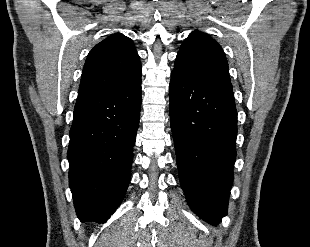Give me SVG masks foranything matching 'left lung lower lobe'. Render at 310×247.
<instances>
[{
	"label": "left lung lower lobe",
	"instance_id": "1",
	"mask_svg": "<svg viewBox=\"0 0 310 247\" xmlns=\"http://www.w3.org/2000/svg\"><path fill=\"white\" fill-rule=\"evenodd\" d=\"M170 123L187 203L215 225L227 214L236 159L232 89L173 70Z\"/></svg>",
	"mask_w": 310,
	"mask_h": 247
}]
</instances>
